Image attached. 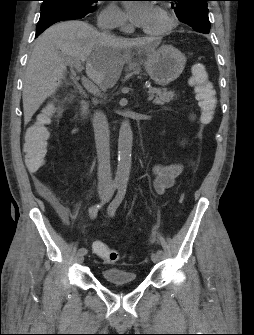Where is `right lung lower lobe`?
<instances>
[{
    "label": "right lung lower lobe",
    "instance_id": "right-lung-lower-lobe-1",
    "mask_svg": "<svg viewBox=\"0 0 254 335\" xmlns=\"http://www.w3.org/2000/svg\"><path fill=\"white\" fill-rule=\"evenodd\" d=\"M86 15L79 14L73 10L53 7L41 11L40 19L36 26V37H38L45 29L54 23L64 20L81 19Z\"/></svg>",
    "mask_w": 254,
    "mask_h": 335
}]
</instances>
